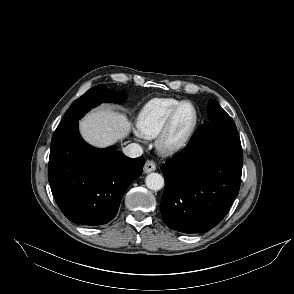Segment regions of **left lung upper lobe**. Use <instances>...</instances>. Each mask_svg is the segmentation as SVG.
<instances>
[{"mask_svg": "<svg viewBox=\"0 0 294 294\" xmlns=\"http://www.w3.org/2000/svg\"><path fill=\"white\" fill-rule=\"evenodd\" d=\"M207 114L209 121H233L216 100H211L208 103Z\"/></svg>", "mask_w": 294, "mask_h": 294, "instance_id": "left-lung-upper-lobe-1", "label": "left lung upper lobe"}]
</instances>
